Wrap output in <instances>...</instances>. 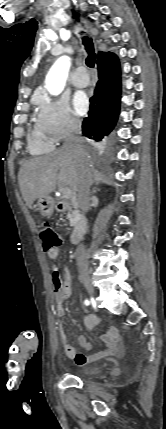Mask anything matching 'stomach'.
I'll return each instance as SVG.
<instances>
[{"instance_id":"obj_1","label":"stomach","mask_w":166,"mask_h":429,"mask_svg":"<svg viewBox=\"0 0 166 429\" xmlns=\"http://www.w3.org/2000/svg\"><path fill=\"white\" fill-rule=\"evenodd\" d=\"M37 208L44 216H51L55 208L54 200L50 196L39 197Z\"/></svg>"}]
</instances>
